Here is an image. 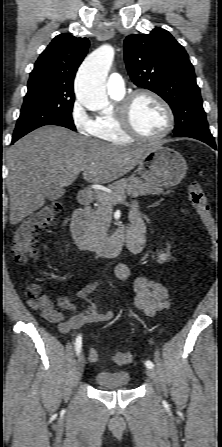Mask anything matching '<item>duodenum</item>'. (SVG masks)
I'll return each mask as SVG.
<instances>
[{
	"mask_svg": "<svg viewBox=\"0 0 222 447\" xmlns=\"http://www.w3.org/2000/svg\"><path fill=\"white\" fill-rule=\"evenodd\" d=\"M77 199L79 207L73 212L71 218V231L76 244L80 248L106 257H115L119 255L124 248H127L133 253L142 251V220L140 218H131L128 226H121L114 230L109 236L96 239L89 234L86 224V209L89 208L92 203V196L87 191L81 190L78 193Z\"/></svg>",
	"mask_w": 222,
	"mask_h": 447,
	"instance_id": "410a0bca",
	"label": "duodenum"
}]
</instances>
